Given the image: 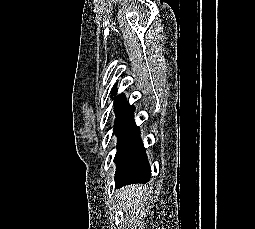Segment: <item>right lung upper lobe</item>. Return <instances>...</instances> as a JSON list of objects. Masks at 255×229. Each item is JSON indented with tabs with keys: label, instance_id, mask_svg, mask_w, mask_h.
<instances>
[{
	"label": "right lung upper lobe",
	"instance_id": "cb5924a9",
	"mask_svg": "<svg viewBox=\"0 0 255 229\" xmlns=\"http://www.w3.org/2000/svg\"><path fill=\"white\" fill-rule=\"evenodd\" d=\"M111 94L112 96L117 95L116 85L112 89ZM114 104H115V114L117 118L126 116L129 112L134 111V106L129 105V103L126 101L125 96L122 94L116 96Z\"/></svg>",
	"mask_w": 255,
	"mask_h": 229
}]
</instances>
